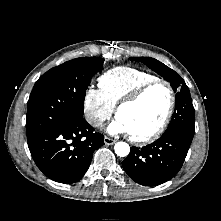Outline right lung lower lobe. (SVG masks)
<instances>
[{"mask_svg":"<svg viewBox=\"0 0 221 221\" xmlns=\"http://www.w3.org/2000/svg\"><path fill=\"white\" fill-rule=\"evenodd\" d=\"M104 144V136L81 117L58 124L28 143L38 168L60 183H74L89 168L95 149Z\"/></svg>","mask_w":221,"mask_h":221,"instance_id":"obj_1","label":"right lung lower lobe"}]
</instances>
